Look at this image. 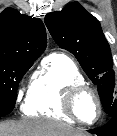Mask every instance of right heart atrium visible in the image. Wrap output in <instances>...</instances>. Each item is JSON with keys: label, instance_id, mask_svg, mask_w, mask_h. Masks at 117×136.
Wrapping results in <instances>:
<instances>
[{"label": "right heart atrium", "instance_id": "right-heart-atrium-1", "mask_svg": "<svg viewBox=\"0 0 117 136\" xmlns=\"http://www.w3.org/2000/svg\"><path fill=\"white\" fill-rule=\"evenodd\" d=\"M23 96V87L20 86L16 93V101L19 102L22 99Z\"/></svg>", "mask_w": 117, "mask_h": 136}]
</instances>
